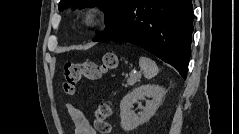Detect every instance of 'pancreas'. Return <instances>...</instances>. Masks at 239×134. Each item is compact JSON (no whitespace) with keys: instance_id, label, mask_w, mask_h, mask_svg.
Here are the masks:
<instances>
[{"instance_id":"cf45deb5","label":"pancreas","mask_w":239,"mask_h":134,"mask_svg":"<svg viewBox=\"0 0 239 134\" xmlns=\"http://www.w3.org/2000/svg\"><path fill=\"white\" fill-rule=\"evenodd\" d=\"M141 75L139 73L130 74V76L126 80V84H122V86L128 87L133 86L135 83L140 82Z\"/></svg>"}]
</instances>
